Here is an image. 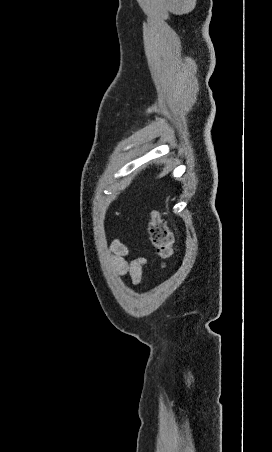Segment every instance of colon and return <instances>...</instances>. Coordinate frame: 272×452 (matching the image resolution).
Instances as JSON below:
<instances>
[{"label": "colon", "instance_id": "1", "mask_svg": "<svg viewBox=\"0 0 272 452\" xmlns=\"http://www.w3.org/2000/svg\"><path fill=\"white\" fill-rule=\"evenodd\" d=\"M149 235L161 267H165L167 261L173 255V236L170 232L166 220L161 212L153 210L149 221Z\"/></svg>", "mask_w": 272, "mask_h": 452}]
</instances>
